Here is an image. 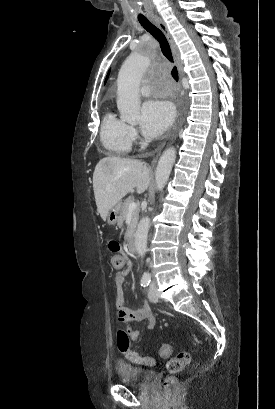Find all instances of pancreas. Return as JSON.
<instances>
[{"mask_svg":"<svg viewBox=\"0 0 275 409\" xmlns=\"http://www.w3.org/2000/svg\"><path fill=\"white\" fill-rule=\"evenodd\" d=\"M130 202H134L133 196H128V198H125L124 202H122V213H121V215L119 217L118 227H122L124 221H126V217H127V213H128V207L130 205ZM139 213H140L139 207H137V209H135V211H133V213H132L131 223H130V225H128L127 231L125 233L126 241H129L130 237H132V235H133V233H134V231L136 229V225H137L138 219H139Z\"/></svg>","mask_w":275,"mask_h":409,"instance_id":"cf45deb5","label":"pancreas"}]
</instances>
